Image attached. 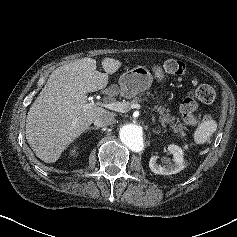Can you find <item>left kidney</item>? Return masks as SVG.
<instances>
[{"label": "left kidney", "instance_id": "1", "mask_svg": "<svg viewBox=\"0 0 237 237\" xmlns=\"http://www.w3.org/2000/svg\"><path fill=\"white\" fill-rule=\"evenodd\" d=\"M168 152L173 156V164H171V160L165 159L163 162L168 164L166 167H162L158 165L157 159L158 156H152L149 161V167L151 171L155 174L161 175H171L176 174L185 168V162L183 159V151L182 149L174 144L168 146Z\"/></svg>", "mask_w": 237, "mask_h": 237}]
</instances>
